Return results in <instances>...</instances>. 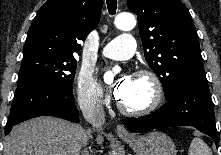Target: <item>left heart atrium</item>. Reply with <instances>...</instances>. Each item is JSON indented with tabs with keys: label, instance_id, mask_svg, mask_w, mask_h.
<instances>
[{
	"label": "left heart atrium",
	"instance_id": "1",
	"mask_svg": "<svg viewBox=\"0 0 221 155\" xmlns=\"http://www.w3.org/2000/svg\"><path fill=\"white\" fill-rule=\"evenodd\" d=\"M132 77L130 75H122L112 86V91L116 98L122 99L128 92L131 85Z\"/></svg>",
	"mask_w": 221,
	"mask_h": 155
}]
</instances>
